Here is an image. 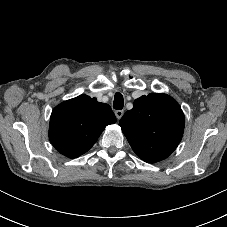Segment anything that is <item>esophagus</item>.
I'll return each mask as SVG.
<instances>
[{
	"mask_svg": "<svg viewBox=\"0 0 227 227\" xmlns=\"http://www.w3.org/2000/svg\"><path fill=\"white\" fill-rule=\"evenodd\" d=\"M123 114H124V111L123 110H117L115 112V115H116L117 119H121L122 116H123Z\"/></svg>",
	"mask_w": 227,
	"mask_h": 227,
	"instance_id": "obj_1",
	"label": "esophagus"
}]
</instances>
